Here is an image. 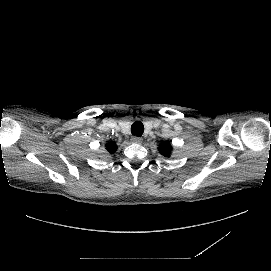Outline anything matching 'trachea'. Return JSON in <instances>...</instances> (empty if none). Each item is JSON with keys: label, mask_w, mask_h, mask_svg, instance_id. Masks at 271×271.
Masks as SVG:
<instances>
[{"label": "trachea", "mask_w": 271, "mask_h": 271, "mask_svg": "<svg viewBox=\"0 0 271 271\" xmlns=\"http://www.w3.org/2000/svg\"><path fill=\"white\" fill-rule=\"evenodd\" d=\"M144 132V125L140 121H136L131 126V133L134 136L140 137Z\"/></svg>", "instance_id": "obj_1"}]
</instances>
